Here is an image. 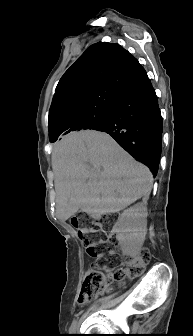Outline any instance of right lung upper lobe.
Masks as SVG:
<instances>
[{"instance_id":"right-lung-upper-lobe-1","label":"right lung upper lobe","mask_w":193,"mask_h":336,"mask_svg":"<svg viewBox=\"0 0 193 336\" xmlns=\"http://www.w3.org/2000/svg\"><path fill=\"white\" fill-rule=\"evenodd\" d=\"M141 67L118 44L90 46L60 79L49 111L51 142L75 131V120L94 110L110 108Z\"/></svg>"}]
</instances>
